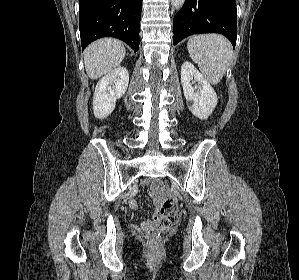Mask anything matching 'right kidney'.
<instances>
[{"label":"right kidney","mask_w":299,"mask_h":280,"mask_svg":"<svg viewBox=\"0 0 299 280\" xmlns=\"http://www.w3.org/2000/svg\"><path fill=\"white\" fill-rule=\"evenodd\" d=\"M128 83L129 73L124 67H118L100 79L93 97V112L96 118H106L113 112L116 99L124 95Z\"/></svg>","instance_id":"1"}]
</instances>
